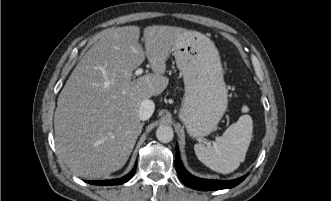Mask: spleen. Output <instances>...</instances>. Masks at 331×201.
<instances>
[{
  "label": "spleen",
  "mask_w": 331,
  "mask_h": 201,
  "mask_svg": "<svg viewBox=\"0 0 331 201\" xmlns=\"http://www.w3.org/2000/svg\"><path fill=\"white\" fill-rule=\"evenodd\" d=\"M249 111L243 106L242 112ZM253 121L250 115H242L231 124L222 136L217 137L213 145L195 144L197 158L211 170L229 174L235 171L245 156L252 139Z\"/></svg>",
  "instance_id": "1"
}]
</instances>
